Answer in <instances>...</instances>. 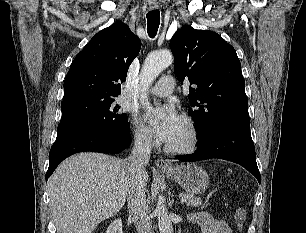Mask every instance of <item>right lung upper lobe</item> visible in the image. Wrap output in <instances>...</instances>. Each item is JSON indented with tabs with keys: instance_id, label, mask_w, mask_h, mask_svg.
I'll return each mask as SVG.
<instances>
[{
	"instance_id": "1",
	"label": "right lung upper lobe",
	"mask_w": 306,
	"mask_h": 233,
	"mask_svg": "<svg viewBox=\"0 0 306 233\" xmlns=\"http://www.w3.org/2000/svg\"><path fill=\"white\" fill-rule=\"evenodd\" d=\"M140 48V39L122 22L97 33L70 66L64 81L63 102L117 97Z\"/></svg>"
}]
</instances>
